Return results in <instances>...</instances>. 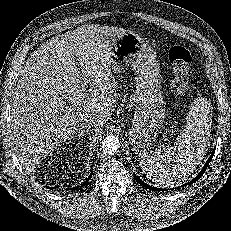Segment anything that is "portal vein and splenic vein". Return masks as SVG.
<instances>
[{"instance_id":"1","label":"portal vein and splenic vein","mask_w":231,"mask_h":231,"mask_svg":"<svg viewBox=\"0 0 231 231\" xmlns=\"http://www.w3.org/2000/svg\"><path fill=\"white\" fill-rule=\"evenodd\" d=\"M82 87H83V90L86 91V89H87V87H88V86H87V83H86V82L83 83V86H82Z\"/></svg>"}]
</instances>
